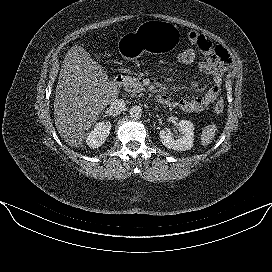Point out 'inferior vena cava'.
Here are the masks:
<instances>
[{"instance_id":"602c4592","label":"inferior vena cava","mask_w":272,"mask_h":272,"mask_svg":"<svg viewBox=\"0 0 272 272\" xmlns=\"http://www.w3.org/2000/svg\"><path fill=\"white\" fill-rule=\"evenodd\" d=\"M110 113L118 115L125 110V101L123 99H115L111 102Z\"/></svg>"}]
</instances>
